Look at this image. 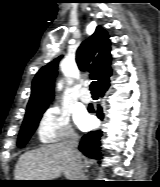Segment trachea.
Returning <instances> with one entry per match:
<instances>
[{"label":"trachea","mask_w":160,"mask_h":187,"mask_svg":"<svg viewBox=\"0 0 160 187\" xmlns=\"http://www.w3.org/2000/svg\"><path fill=\"white\" fill-rule=\"evenodd\" d=\"M90 91H91V93H97L96 82H95V81H93V82L90 84Z\"/></svg>","instance_id":"obj_1"}]
</instances>
